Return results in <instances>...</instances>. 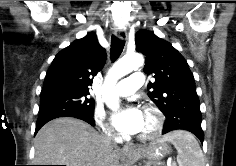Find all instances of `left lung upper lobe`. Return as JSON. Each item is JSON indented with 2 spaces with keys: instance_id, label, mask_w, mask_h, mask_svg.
Wrapping results in <instances>:
<instances>
[{
  "instance_id": "1",
  "label": "left lung upper lobe",
  "mask_w": 236,
  "mask_h": 166,
  "mask_svg": "<svg viewBox=\"0 0 236 166\" xmlns=\"http://www.w3.org/2000/svg\"><path fill=\"white\" fill-rule=\"evenodd\" d=\"M136 51L146 56L144 71L155 82L147 88L150 99L167 115L199 101L194 77L185 58L167 41L153 32L140 30L135 35Z\"/></svg>"
}]
</instances>
